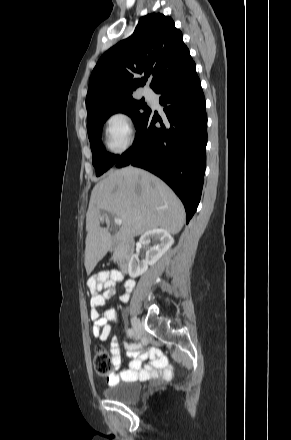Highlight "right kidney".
<instances>
[{
    "label": "right kidney",
    "instance_id": "1",
    "mask_svg": "<svg viewBox=\"0 0 291 440\" xmlns=\"http://www.w3.org/2000/svg\"><path fill=\"white\" fill-rule=\"evenodd\" d=\"M154 240L157 244L148 249L146 258L139 260L137 254L133 255L129 261L128 273L130 277L136 278L148 270V266L154 265L173 245L174 239L168 231L162 228L152 229L145 232L140 237V244L149 245Z\"/></svg>",
    "mask_w": 291,
    "mask_h": 440
}]
</instances>
